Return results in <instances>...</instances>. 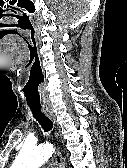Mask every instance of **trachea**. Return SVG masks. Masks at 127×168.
Segmentation results:
<instances>
[{
  "label": "trachea",
  "instance_id": "trachea-1",
  "mask_svg": "<svg viewBox=\"0 0 127 168\" xmlns=\"http://www.w3.org/2000/svg\"><path fill=\"white\" fill-rule=\"evenodd\" d=\"M33 117L40 123L44 132L52 130L53 123L49 117H47L41 110V106H29Z\"/></svg>",
  "mask_w": 127,
  "mask_h": 168
}]
</instances>
